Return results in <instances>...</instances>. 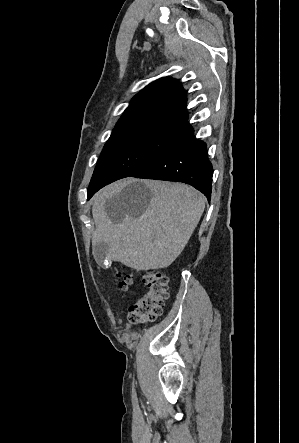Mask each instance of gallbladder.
<instances>
[{
	"label": "gallbladder",
	"instance_id": "1",
	"mask_svg": "<svg viewBox=\"0 0 299 443\" xmlns=\"http://www.w3.org/2000/svg\"><path fill=\"white\" fill-rule=\"evenodd\" d=\"M109 246L105 242H98L93 246V255L96 262L100 265H104V259L108 253Z\"/></svg>",
	"mask_w": 299,
	"mask_h": 443
}]
</instances>
